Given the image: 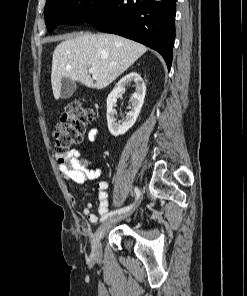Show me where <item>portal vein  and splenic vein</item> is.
Returning a JSON list of instances; mask_svg holds the SVG:
<instances>
[{
  "mask_svg": "<svg viewBox=\"0 0 247 296\" xmlns=\"http://www.w3.org/2000/svg\"><path fill=\"white\" fill-rule=\"evenodd\" d=\"M88 71H89V73L92 74L93 76H95L96 73H97V69H96L95 67H91V68H89Z\"/></svg>",
  "mask_w": 247,
  "mask_h": 296,
  "instance_id": "1",
  "label": "portal vein and splenic vein"
}]
</instances>
